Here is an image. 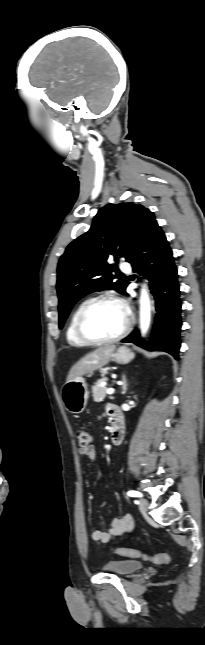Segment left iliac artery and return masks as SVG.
<instances>
[{
    "mask_svg": "<svg viewBox=\"0 0 205 645\" xmlns=\"http://www.w3.org/2000/svg\"><path fill=\"white\" fill-rule=\"evenodd\" d=\"M128 496L130 497H141L142 494L138 491L130 490L128 491Z\"/></svg>",
    "mask_w": 205,
    "mask_h": 645,
    "instance_id": "1",
    "label": "left iliac artery"
}]
</instances>
